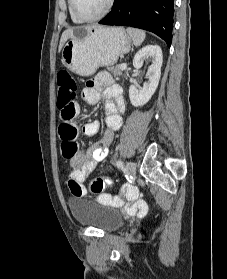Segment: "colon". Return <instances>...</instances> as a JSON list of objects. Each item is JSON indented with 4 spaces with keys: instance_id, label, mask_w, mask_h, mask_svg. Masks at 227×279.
<instances>
[{
    "instance_id": "1",
    "label": "colon",
    "mask_w": 227,
    "mask_h": 279,
    "mask_svg": "<svg viewBox=\"0 0 227 279\" xmlns=\"http://www.w3.org/2000/svg\"><path fill=\"white\" fill-rule=\"evenodd\" d=\"M58 83L61 89L58 108L60 110L63 125L61 127V152L65 159H71L76 154L75 136L77 128L74 125L68 124L75 117V100L77 86L72 76L67 71H61L58 74ZM113 180L108 176H99L91 180L89 185V195L95 196L101 203L119 206L123 204V200L117 196H111L105 193L106 187L110 186ZM71 192L78 197H85L87 193L81 190L78 183L71 179L69 182ZM110 196V198H109Z\"/></svg>"
}]
</instances>
